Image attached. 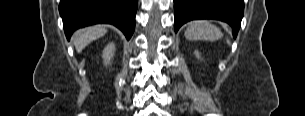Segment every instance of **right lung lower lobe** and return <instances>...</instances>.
<instances>
[{"label":"right lung lower lobe","mask_w":305,"mask_h":116,"mask_svg":"<svg viewBox=\"0 0 305 116\" xmlns=\"http://www.w3.org/2000/svg\"><path fill=\"white\" fill-rule=\"evenodd\" d=\"M138 0H61L59 12L67 39L81 27L107 23L129 40L135 29Z\"/></svg>","instance_id":"right-lung-lower-lobe-1"}]
</instances>
